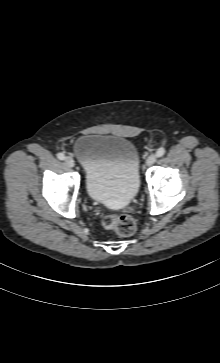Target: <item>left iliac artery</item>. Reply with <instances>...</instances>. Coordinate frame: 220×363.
Segmentation results:
<instances>
[{"instance_id": "left-iliac-artery-1", "label": "left iliac artery", "mask_w": 220, "mask_h": 363, "mask_svg": "<svg viewBox=\"0 0 220 363\" xmlns=\"http://www.w3.org/2000/svg\"><path fill=\"white\" fill-rule=\"evenodd\" d=\"M165 152H166L165 148L160 147V148L157 150V152H156V156H157V157H162V156L165 154Z\"/></svg>"}]
</instances>
